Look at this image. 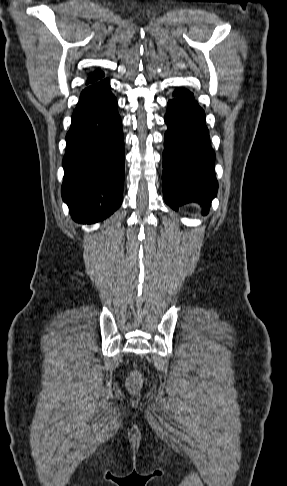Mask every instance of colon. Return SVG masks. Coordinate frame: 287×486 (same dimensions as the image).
Listing matches in <instances>:
<instances>
[{
  "mask_svg": "<svg viewBox=\"0 0 287 486\" xmlns=\"http://www.w3.org/2000/svg\"><path fill=\"white\" fill-rule=\"evenodd\" d=\"M140 384V377L138 374H133L129 380V386L132 389H135L139 386Z\"/></svg>",
  "mask_w": 287,
  "mask_h": 486,
  "instance_id": "colon-1",
  "label": "colon"
}]
</instances>
